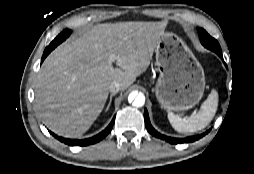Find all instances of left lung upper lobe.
<instances>
[{
	"label": "left lung upper lobe",
	"instance_id": "left-lung-upper-lobe-1",
	"mask_svg": "<svg viewBox=\"0 0 254 174\" xmlns=\"http://www.w3.org/2000/svg\"><path fill=\"white\" fill-rule=\"evenodd\" d=\"M198 34L201 43L208 49L214 51L216 54L221 52V48L217 40L212 38L204 29H199Z\"/></svg>",
	"mask_w": 254,
	"mask_h": 174
}]
</instances>
